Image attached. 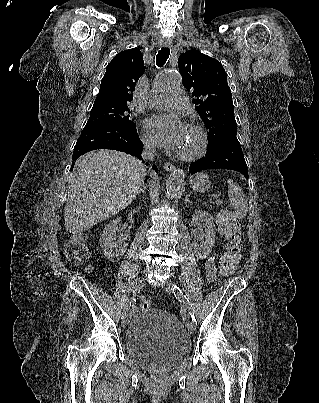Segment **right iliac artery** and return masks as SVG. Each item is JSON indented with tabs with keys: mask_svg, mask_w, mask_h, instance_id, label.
Instances as JSON below:
<instances>
[{
	"mask_svg": "<svg viewBox=\"0 0 319 403\" xmlns=\"http://www.w3.org/2000/svg\"><path fill=\"white\" fill-rule=\"evenodd\" d=\"M133 300L134 299H130L127 303H126V305H125V307H124V310H123V315H125L127 312H128V310L130 309V307H131V303L133 302ZM122 315V316H123Z\"/></svg>",
	"mask_w": 319,
	"mask_h": 403,
	"instance_id": "82829eb1",
	"label": "right iliac artery"
}]
</instances>
